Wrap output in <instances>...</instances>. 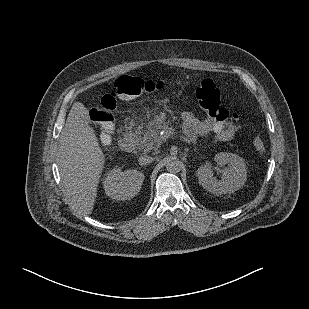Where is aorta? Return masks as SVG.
<instances>
[{"instance_id": "aorta-1", "label": "aorta", "mask_w": 309, "mask_h": 309, "mask_svg": "<svg viewBox=\"0 0 309 309\" xmlns=\"http://www.w3.org/2000/svg\"><path fill=\"white\" fill-rule=\"evenodd\" d=\"M182 162L174 157H168L165 159V167L170 173H178L182 169Z\"/></svg>"}]
</instances>
